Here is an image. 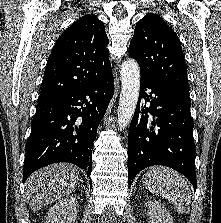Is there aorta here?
<instances>
[{"mask_svg":"<svg viewBox=\"0 0 221 223\" xmlns=\"http://www.w3.org/2000/svg\"><path fill=\"white\" fill-rule=\"evenodd\" d=\"M121 85L117 123L120 130L124 129L131 121L139 97L140 69L133 59L124 61L121 65Z\"/></svg>","mask_w":221,"mask_h":223,"instance_id":"aorta-1","label":"aorta"}]
</instances>
